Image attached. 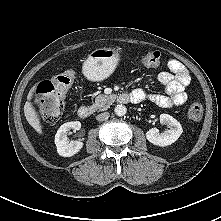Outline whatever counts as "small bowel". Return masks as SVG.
<instances>
[{
  "label": "small bowel",
  "instance_id": "small-bowel-1",
  "mask_svg": "<svg viewBox=\"0 0 221 221\" xmlns=\"http://www.w3.org/2000/svg\"><path fill=\"white\" fill-rule=\"evenodd\" d=\"M170 72H162L159 82L164 86L166 94H152L143 89H134L129 95L135 102L150 100L161 107L178 106L187 100L186 88L190 83V75L184 65L178 60L168 62Z\"/></svg>",
  "mask_w": 221,
  "mask_h": 221
}]
</instances>
